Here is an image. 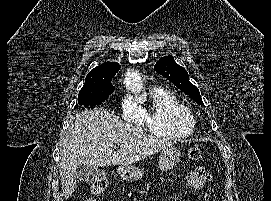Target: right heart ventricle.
<instances>
[{
	"label": "right heart ventricle",
	"instance_id": "obj_1",
	"mask_svg": "<svg viewBox=\"0 0 271 201\" xmlns=\"http://www.w3.org/2000/svg\"><path fill=\"white\" fill-rule=\"evenodd\" d=\"M148 132L163 138H180L193 134L196 119L191 109L173 93L156 88L152 92V106L144 113Z\"/></svg>",
	"mask_w": 271,
	"mask_h": 201
}]
</instances>
